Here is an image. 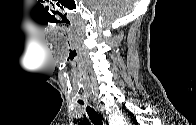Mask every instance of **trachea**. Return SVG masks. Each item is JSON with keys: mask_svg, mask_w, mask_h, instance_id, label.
Masks as SVG:
<instances>
[{"mask_svg": "<svg viewBox=\"0 0 196 125\" xmlns=\"http://www.w3.org/2000/svg\"><path fill=\"white\" fill-rule=\"evenodd\" d=\"M79 104L83 105V101H78ZM86 111L88 113L89 119L94 125H103L102 118L100 115L91 107L87 106Z\"/></svg>", "mask_w": 196, "mask_h": 125, "instance_id": "1", "label": "trachea"}]
</instances>
